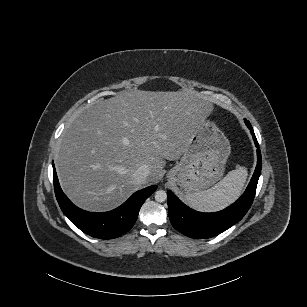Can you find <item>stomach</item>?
<instances>
[{
  "label": "stomach",
  "instance_id": "stomach-1",
  "mask_svg": "<svg viewBox=\"0 0 307 307\" xmlns=\"http://www.w3.org/2000/svg\"><path fill=\"white\" fill-rule=\"evenodd\" d=\"M231 153L230 142L215 122L206 116L191 136L185 153L167 174L185 192L208 189L221 180Z\"/></svg>",
  "mask_w": 307,
  "mask_h": 307
}]
</instances>
